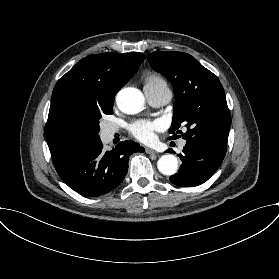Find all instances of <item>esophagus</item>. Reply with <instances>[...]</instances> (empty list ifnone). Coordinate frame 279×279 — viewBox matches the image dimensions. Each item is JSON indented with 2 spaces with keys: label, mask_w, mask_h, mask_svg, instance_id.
<instances>
[{
  "label": "esophagus",
  "mask_w": 279,
  "mask_h": 279,
  "mask_svg": "<svg viewBox=\"0 0 279 279\" xmlns=\"http://www.w3.org/2000/svg\"><path fill=\"white\" fill-rule=\"evenodd\" d=\"M145 152L150 156H156L157 152L149 147H145Z\"/></svg>",
  "instance_id": "obj_1"
}]
</instances>
